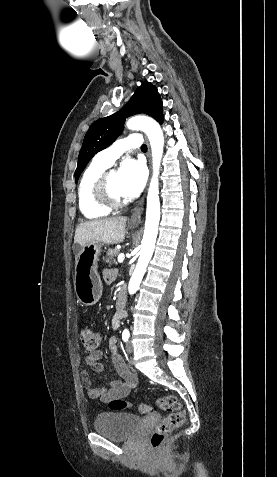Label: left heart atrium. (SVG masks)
I'll return each mask as SVG.
<instances>
[{
	"instance_id": "39dd6f15",
	"label": "left heart atrium",
	"mask_w": 277,
	"mask_h": 477,
	"mask_svg": "<svg viewBox=\"0 0 277 477\" xmlns=\"http://www.w3.org/2000/svg\"><path fill=\"white\" fill-rule=\"evenodd\" d=\"M120 190L123 197H136L143 189L147 171L143 163L128 159L125 160L119 171Z\"/></svg>"
}]
</instances>
